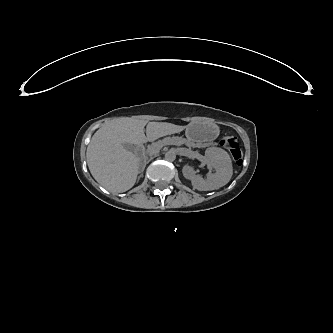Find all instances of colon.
<instances>
[{
    "label": "colon",
    "mask_w": 333,
    "mask_h": 333,
    "mask_svg": "<svg viewBox=\"0 0 333 333\" xmlns=\"http://www.w3.org/2000/svg\"><path fill=\"white\" fill-rule=\"evenodd\" d=\"M221 144L229 150L234 163L240 166L242 164V151L238 140L235 137H224L221 140Z\"/></svg>",
    "instance_id": "colon-1"
}]
</instances>
